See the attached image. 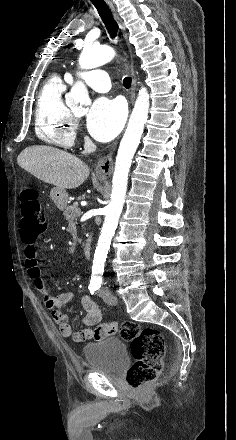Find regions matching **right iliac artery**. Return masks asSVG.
Returning <instances> with one entry per match:
<instances>
[{
    "label": "right iliac artery",
    "instance_id": "obj_1",
    "mask_svg": "<svg viewBox=\"0 0 236 440\" xmlns=\"http://www.w3.org/2000/svg\"><path fill=\"white\" fill-rule=\"evenodd\" d=\"M97 289H98V287H96V286H93V285L89 286V290H90L91 294H93Z\"/></svg>",
    "mask_w": 236,
    "mask_h": 440
}]
</instances>
